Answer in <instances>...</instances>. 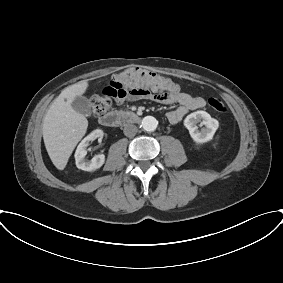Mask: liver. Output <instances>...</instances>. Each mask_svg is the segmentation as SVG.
Segmentation results:
<instances>
[{"label":"liver","instance_id":"liver-1","mask_svg":"<svg viewBox=\"0 0 283 283\" xmlns=\"http://www.w3.org/2000/svg\"><path fill=\"white\" fill-rule=\"evenodd\" d=\"M87 87L85 80L67 87L54 100L43 119L44 144L52 163L59 170L66 167L74 148L87 131L88 120L71 106Z\"/></svg>","mask_w":283,"mask_h":283}]
</instances>
